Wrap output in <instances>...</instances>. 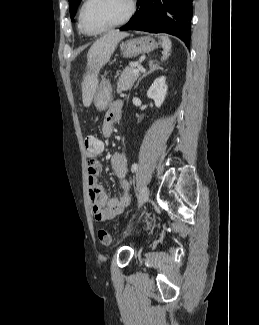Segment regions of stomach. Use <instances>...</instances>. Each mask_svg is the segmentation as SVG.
<instances>
[{
	"instance_id": "obj_1",
	"label": "stomach",
	"mask_w": 259,
	"mask_h": 325,
	"mask_svg": "<svg viewBox=\"0 0 259 325\" xmlns=\"http://www.w3.org/2000/svg\"><path fill=\"white\" fill-rule=\"evenodd\" d=\"M157 46L155 40L150 36H143L130 39L122 43L121 51L124 57L133 58L140 54L147 53ZM112 101V89L108 80H103L96 89L94 96L95 107L99 111L106 110Z\"/></svg>"
}]
</instances>
